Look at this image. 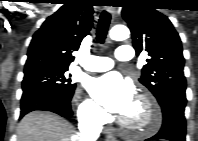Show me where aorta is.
<instances>
[{"label":"aorta","instance_id":"obj_1","mask_svg":"<svg viewBox=\"0 0 198 141\" xmlns=\"http://www.w3.org/2000/svg\"><path fill=\"white\" fill-rule=\"evenodd\" d=\"M110 38L116 41H121L129 38L130 31L124 25H116L110 30Z\"/></svg>","mask_w":198,"mask_h":141}]
</instances>
